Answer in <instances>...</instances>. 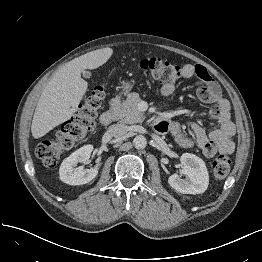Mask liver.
I'll return each instance as SVG.
<instances>
[{
  "label": "liver",
  "instance_id": "6515ba94",
  "mask_svg": "<svg viewBox=\"0 0 262 262\" xmlns=\"http://www.w3.org/2000/svg\"><path fill=\"white\" fill-rule=\"evenodd\" d=\"M113 54L109 47L98 49L68 62L47 83L38 100L31 132L41 138L56 126L70 119L87 91L88 83L81 78L85 69H96Z\"/></svg>",
  "mask_w": 262,
  "mask_h": 262
}]
</instances>
